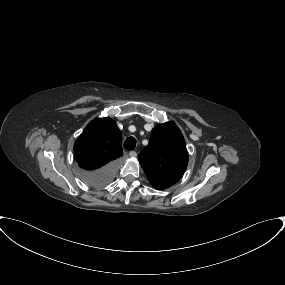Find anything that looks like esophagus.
Masks as SVG:
<instances>
[{
    "instance_id": "34e87169",
    "label": "esophagus",
    "mask_w": 285,
    "mask_h": 285,
    "mask_svg": "<svg viewBox=\"0 0 285 285\" xmlns=\"http://www.w3.org/2000/svg\"><path fill=\"white\" fill-rule=\"evenodd\" d=\"M129 155H130V157L134 158V157L137 156V153H136L135 151H131V152L129 153Z\"/></svg>"
}]
</instances>
